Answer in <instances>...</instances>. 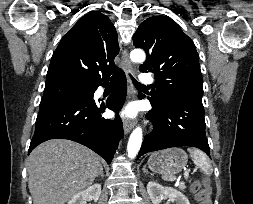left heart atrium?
Segmentation results:
<instances>
[{
    "instance_id": "39dd6f15",
    "label": "left heart atrium",
    "mask_w": 253,
    "mask_h": 204,
    "mask_svg": "<svg viewBox=\"0 0 253 204\" xmlns=\"http://www.w3.org/2000/svg\"><path fill=\"white\" fill-rule=\"evenodd\" d=\"M136 115V109L133 107H127L121 112V116L124 119H131L134 118Z\"/></svg>"
}]
</instances>
